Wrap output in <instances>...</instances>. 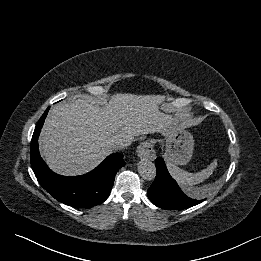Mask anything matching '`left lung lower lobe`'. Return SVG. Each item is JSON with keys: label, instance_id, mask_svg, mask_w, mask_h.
<instances>
[{"label": "left lung lower lobe", "instance_id": "obj_1", "mask_svg": "<svg viewBox=\"0 0 261 261\" xmlns=\"http://www.w3.org/2000/svg\"><path fill=\"white\" fill-rule=\"evenodd\" d=\"M155 164L156 178L147 191L148 197L154 205L166 210H177L195 206L203 201L190 197L180 189L168 173L161 157L156 159Z\"/></svg>", "mask_w": 261, "mask_h": 261}]
</instances>
